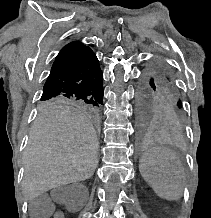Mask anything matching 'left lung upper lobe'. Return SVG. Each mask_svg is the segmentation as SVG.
<instances>
[{
	"label": "left lung upper lobe",
	"instance_id": "obj_1",
	"mask_svg": "<svg viewBox=\"0 0 211 218\" xmlns=\"http://www.w3.org/2000/svg\"><path fill=\"white\" fill-rule=\"evenodd\" d=\"M139 117L142 129L180 126L183 106L175 79L159 58L143 74Z\"/></svg>",
	"mask_w": 211,
	"mask_h": 218
}]
</instances>
